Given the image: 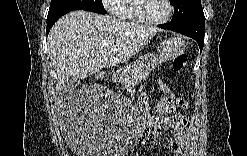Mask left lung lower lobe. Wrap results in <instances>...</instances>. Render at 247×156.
<instances>
[{"instance_id":"0a47b994","label":"left lung lower lobe","mask_w":247,"mask_h":156,"mask_svg":"<svg viewBox=\"0 0 247 156\" xmlns=\"http://www.w3.org/2000/svg\"><path fill=\"white\" fill-rule=\"evenodd\" d=\"M167 30H172L195 39L200 52L204 46L205 16L202 6L195 8L190 14L177 21L158 25Z\"/></svg>"}]
</instances>
